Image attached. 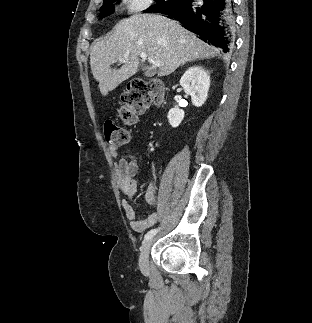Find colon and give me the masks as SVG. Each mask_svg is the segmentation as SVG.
<instances>
[{"label":"colon","mask_w":312,"mask_h":323,"mask_svg":"<svg viewBox=\"0 0 312 323\" xmlns=\"http://www.w3.org/2000/svg\"><path fill=\"white\" fill-rule=\"evenodd\" d=\"M163 95L161 79L131 78L120 97L118 116L122 124L113 121L105 123V142L113 147L126 145L130 139L129 127L136 123L137 115L151 104H160Z\"/></svg>","instance_id":"obj_1"}]
</instances>
